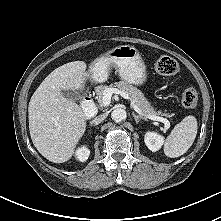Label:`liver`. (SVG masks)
Returning a JSON list of instances; mask_svg holds the SVG:
<instances>
[{"mask_svg": "<svg viewBox=\"0 0 221 221\" xmlns=\"http://www.w3.org/2000/svg\"><path fill=\"white\" fill-rule=\"evenodd\" d=\"M86 63L74 61L53 70L32 95L28 106L29 131L38 152L53 163L68 161L86 130L80 106L62 96L64 90H82Z\"/></svg>", "mask_w": 221, "mask_h": 221, "instance_id": "1", "label": "liver"}]
</instances>
